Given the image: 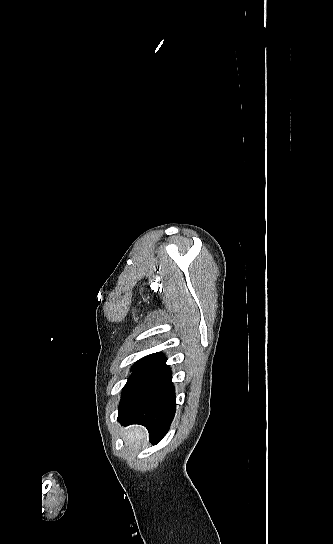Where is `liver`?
Listing matches in <instances>:
<instances>
[{"mask_svg": "<svg viewBox=\"0 0 333 544\" xmlns=\"http://www.w3.org/2000/svg\"><path fill=\"white\" fill-rule=\"evenodd\" d=\"M124 435L126 440L134 441L136 439L140 441L147 436V433L139 426H132L126 429Z\"/></svg>", "mask_w": 333, "mask_h": 544, "instance_id": "obj_1", "label": "liver"}]
</instances>
